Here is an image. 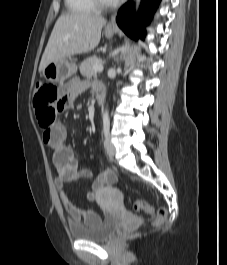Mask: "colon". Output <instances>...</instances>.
<instances>
[{
    "instance_id": "5ec220e1",
    "label": "colon",
    "mask_w": 227,
    "mask_h": 265,
    "mask_svg": "<svg viewBox=\"0 0 227 265\" xmlns=\"http://www.w3.org/2000/svg\"><path fill=\"white\" fill-rule=\"evenodd\" d=\"M58 99H65L58 86L50 83L37 82L35 85L34 107L40 126L44 129L49 128L58 113ZM136 211H142L154 215L153 208L143 200L133 203ZM167 218V210L161 207L154 215V225L161 226Z\"/></svg>"
}]
</instances>
